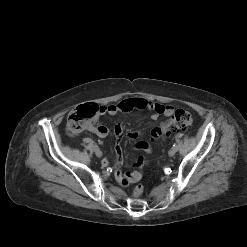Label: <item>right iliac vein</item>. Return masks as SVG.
Segmentation results:
<instances>
[{"label":"right iliac vein","mask_w":247,"mask_h":247,"mask_svg":"<svg viewBox=\"0 0 247 247\" xmlns=\"http://www.w3.org/2000/svg\"><path fill=\"white\" fill-rule=\"evenodd\" d=\"M95 154L97 157H101L102 156V151L98 148L95 150Z\"/></svg>","instance_id":"obj_1"}]
</instances>
